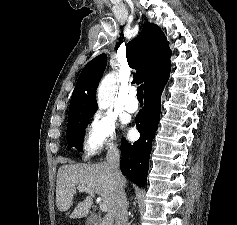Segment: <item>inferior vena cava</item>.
Instances as JSON below:
<instances>
[{"label": "inferior vena cava", "instance_id": "obj_1", "mask_svg": "<svg viewBox=\"0 0 237 225\" xmlns=\"http://www.w3.org/2000/svg\"><path fill=\"white\" fill-rule=\"evenodd\" d=\"M107 165L115 179L116 205H115V225H128L127 219V199L124 191L125 178L120 172V154L116 145H113L106 155Z\"/></svg>", "mask_w": 237, "mask_h": 225}]
</instances>
